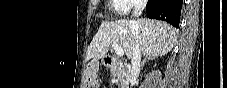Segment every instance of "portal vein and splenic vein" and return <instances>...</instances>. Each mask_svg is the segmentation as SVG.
I'll list each match as a JSON object with an SVG mask.
<instances>
[{
  "instance_id": "portal-vein-and-splenic-vein-1",
  "label": "portal vein and splenic vein",
  "mask_w": 227,
  "mask_h": 88,
  "mask_svg": "<svg viewBox=\"0 0 227 88\" xmlns=\"http://www.w3.org/2000/svg\"><path fill=\"white\" fill-rule=\"evenodd\" d=\"M111 46L114 49L116 55H118V56H123L124 55L123 48L120 47L117 43H112Z\"/></svg>"
}]
</instances>
